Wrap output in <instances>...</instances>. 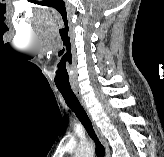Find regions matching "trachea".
<instances>
[{
  "instance_id": "3493384b",
  "label": "trachea",
  "mask_w": 164,
  "mask_h": 157,
  "mask_svg": "<svg viewBox=\"0 0 164 157\" xmlns=\"http://www.w3.org/2000/svg\"><path fill=\"white\" fill-rule=\"evenodd\" d=\"M59 91L62 94L69 108L75 113L77 118L81 121L89 136L95 141L97 157H104L105 149L99 141V139L97 138L92 123L84 108L81 106L79 100L75 96L74 92L71 89H59Z\"/></svg>"
}]
</instances>
